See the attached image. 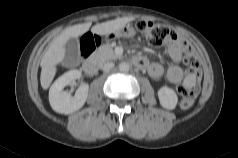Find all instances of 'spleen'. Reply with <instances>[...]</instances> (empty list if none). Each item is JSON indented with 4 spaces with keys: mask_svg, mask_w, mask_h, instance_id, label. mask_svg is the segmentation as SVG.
<instances>
[{
    "mask_svg": "<svg viewBox=\"0 0 238 158\" xmlns=\"http://www.w3.org/2000/svg\"><path fill=\"white\" fill-rule=\"evenodd\" d=\"M195 84V76L194 75H188L184 80V85L186 87H191Z\"/></svg>",
    "mask_w": 238,
    "mask_h": 158,
    "instance_id": "3e777b00",
    "label": "spleen"
}]
</instances>
